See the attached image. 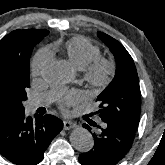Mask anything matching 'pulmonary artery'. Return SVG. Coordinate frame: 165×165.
I'll use <instances>...</instances> for the list:
<instances>
[{"mask_svg": "<svg viewBox=\"0 0 165 165\" xmlns=\"http://www.w3.org/2000/svg\"><path fill=\"white\" fill-rule=\"evenodd\" d=\"M53 98H54L53 92H49V93H45V94H42V95H39L36 97H32L27 102V109L29 112H32L41 106L47 105L48 103L51 102V100Z\"/></svg>", "mask_w": 165, "mask_h": 165, "instance_id": "1", "label": "pulmonary artery"}]
</instances>
